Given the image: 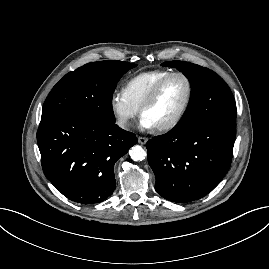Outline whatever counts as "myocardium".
<instances>
[{
	"label": "myocardium",
	"mask_w": 269,
	"mask_h": 269,
	"mask_svg": "<svg viewBox=\"0 0 269 269\" xmlns=\"http://www.w3.org/2000/svg\"><path fill=\"white\" fill-rule=\"evenodd\" d=\"M176 76H180V77L185 79L187 86H188L187 98H186L185 104L182 107V109L180 110V112L171 121H169L166 124L154 127L159 132H167V131L174 129L176 126L179 125V123L183 120L186 113L188 112L190 105H191V102H192V99H193V94H194V87H193V83H192V80L190 79V77L183 72H171L170 74H168L167 76L162 78L153 87V89L151 90V92L149 93V95L147 96V98L142 103V105L139 109L140 115L143 116V113L149 107H151L153 105V103L156 101V99L158 98V95H159L161 89L163 88V86L165 85V83L169 79H171L172 77H176Z\"/></svg>",
	"instance_id": "myocardium-1"
}]
</instances>
